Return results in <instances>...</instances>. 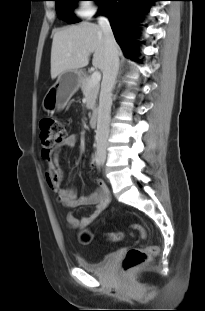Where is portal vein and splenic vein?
Instances as JSON below:
<instances>
[{"mask_svg": "<svg viewBox=\"0 0 205 311\" xmlns=\"http://www.w3.org/2000/svg\"><path fill=\"white\" fill-rule=\"evenodd\" d=\"M70 55V54H68ZM101 80V73L99 71H95L92 75H91V79L89 81V87L94 86L96 84H99Z\"/></svg>", "mask_w": 205, "mask_h": 311, "instance_id": "obj_1", "label": "portal vein and splenic vein"}]
</instances>
